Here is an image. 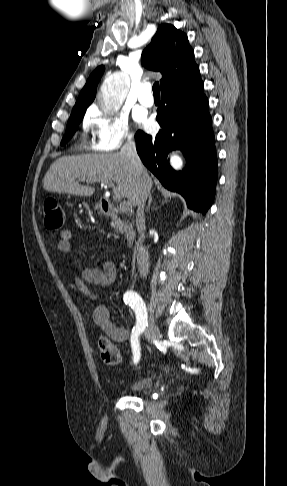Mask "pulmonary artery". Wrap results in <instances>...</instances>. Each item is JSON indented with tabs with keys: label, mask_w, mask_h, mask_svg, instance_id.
Instances as JSON below:
<instances>
[{
	"label": "pulmonary artery",
	"mask_w": 287,
	"mask_h": 486,
	"mask_svg": "<svg viewBox=\"0 0 287 486\" xmlns=\"http://www.w3.org/2000/svg\"><path fill=\"white\" fill-rule=\"evenodd\" d=\"M138 101L146 107H151L154 104V98L151 94L150 84L146 83L141 86L138 93Z\"/></svg>",
	"instance_id": "obj_1"
}]
</instances>
